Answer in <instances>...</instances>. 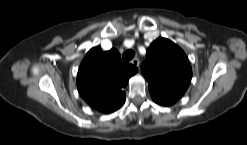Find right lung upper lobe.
<instances>
[{
  "label": "right lung upper lobe",
  "mask_w": 247,
  "mask_h": 145,
  "mask_svg": "<svg viewBox=\"0 0 247 145\" xmlns=\"http://www.w3.org/2000/svg\"><path fill=\"white\" fill-rule=\"evenodd\" d=\"M137 71L134 65L122 62L116 49L102 53L100 47H94L78 70L79 94L93 108L106 114L114 112L124 104L123 88Z\"/></svg>",
  "instance_id": "cb5924a9"
}]
</instances>
